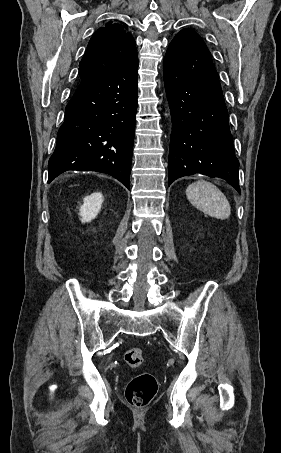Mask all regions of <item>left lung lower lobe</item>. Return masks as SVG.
Listing matches in <instances>:
<instances>
[{
  "label": "left lung lower lobe",
  "mask_w": 281,
  "mask_h": 453,
  "mask_svg": "<svg viewBox=\"0 0 281 453\" xmlns=\"http://www.w3.org/2000/svg\"><path fill=\"white\" fill-rule=\"evenodd\" d=\"M163 73L172 118L168 185L201 173L223 178L241 193L228 113L204 41L199 36H175Z\"/></svg>",
  "instance_id": "left-lung-lower-lobe-1"
}]
</instances>
